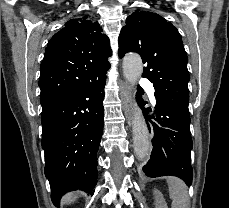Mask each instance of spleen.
I'll list each match as a JSON object with an SVG mask.
<instances>
[{
    "label": "spleen",
    "mask_w": 229,
    "mask_h": 208,
    "mask_svg": "<svg viewBox=\"0 0 229 208\" xmlns=\"http://www.w3.org/2000/svg\"><path fill=\"white\" fill-rule=\"evenodd\" d=\"M169 196L172 202V208H186L188 204V190L186 184L179 178H167Z\"/></svg>",
    "instance_id": "3e777b00"
}]
</instances>
